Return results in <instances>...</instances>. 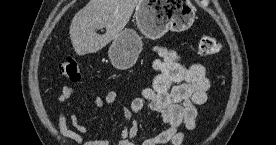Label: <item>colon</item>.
Segmentation results:
<instances>
[{"mask_svg":"<svg viewBox=\"0 0 276 145\" xmlns=\"http://www.w3.org/2000/svg\"><path fill=\"white\" fill-rule=\"evenodd\" d=\"M220 42L211 35L203 34L198 40V52L201 56H213L220 52ZM60 74L71 81H79L82 78L81 71L73 57L65 58L59 65Z\"/></svg>","mask_w":276,"mask_h":145,"instance_id":"obj_1","label":"colon"}]
</instances>
